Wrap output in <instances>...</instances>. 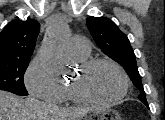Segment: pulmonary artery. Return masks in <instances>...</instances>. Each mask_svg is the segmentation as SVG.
Returning a JSON list of instances; mask_svg holds the SVG:
<instances>
[{
	"instance_id": "obj_1",
	"label": "pulmonary artery",
	"mask_w": 165,
	"mask_h": 120,
	"mask_svg": "<svg viewBox=\"0 0 165 120\" xmlns=\"http://www.w3.org/2000/svg\"><path fill=\"white\" fill-rule=\"evenodd\" d=\"M91 51L90 43L81 36H75L67 44V52L75 59L86 58Z\"/></svg>"
}]
</instances>
